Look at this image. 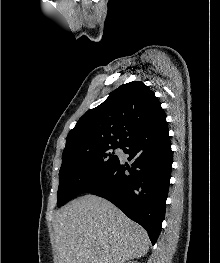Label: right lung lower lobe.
<instances>
[{
	"label": "right lung lower lobe",
	"mask_w": 220,
	"mask_h": 263,
	"mask_svg": "<svg viewBox=\"0 0 220 263\" xmlns=\"http://www.w3.org/2000/svg\"><path fill=\"white\" fill-rule=\"evenodd\" d=\"M168 131L155 138L142 136L128 143L122 149L129 154V161L134 160L132 167L120 160L82 191L116 205L147 230L153 245L164 220L173 162Z\"/></svg>",
	"instance_id": "obj_1"
}]
</instances>
